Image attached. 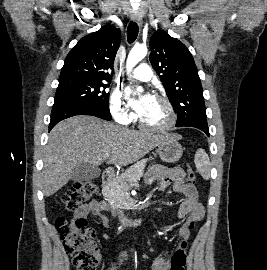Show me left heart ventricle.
I'll return each instance as SVG.
<instances>
[{
  "label": "left heart ventricle",
  "instance_id": "obj_1",
  "mask_svg": "<svg viewBox=\"0 0 267 270\" xmlns=\"http://www.w3.org/2000/svg\"><path fill=\"white\" fill-rule=\"evenodd\" d=\"M140 116L145 123L153 126L164 125L168 120V113L165 106L157 99H154Z\"/></svg>",
  "mask_w": 267,
  "mask_h": 270
}]
</instances>
